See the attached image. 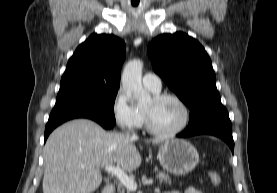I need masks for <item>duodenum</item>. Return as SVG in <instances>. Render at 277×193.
<instances>
[{"label": "duodenum", "instance_id": "duodenum-1", "mask_svg": "<svg viewBox=\"0 0 277 193\" xmlns=\"http://www.w3.org/2000/svg\"><path fill=\"white\" fill-rule=\"evenodd\" d=\"M115 186L113 184H107L104 186L102 193H114Z\"/></svg>", "mask_w": 277, "mask_h": 193}]
</instances>
